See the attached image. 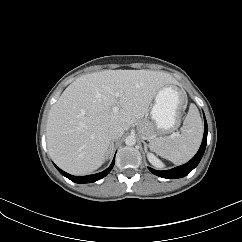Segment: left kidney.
Returning <instances> with one entry per match:
<instances>
[{
    "instance_id": "left-kidney-1",
    "label": "left kidney",
    "mask_w": 242,
    "mask_h": 242,
    "mask_svg": "<svg viewBox=\"0 0 242 242\" xmlns=\"http://www.w3.org/2000/svg\"><path fill=\"white\" fill-rule=\"evenodd\" d=\"M147 153V158L149 160V162L157 167V168H163L164 167V164L152 153L150 152H146Z\"/></svg>"
}]
</instances>
